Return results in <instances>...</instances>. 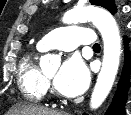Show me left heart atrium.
Returning a JSON list of instances; mask_svg holds the SVG:
<instances>
[{"label": "left heart atrium", "mask_w": 131, "mask_h": 115, "mask_svg": "<svg viewBox=\"0 0 131 115\" xmlns=\"http://www.w3.org/2000/svg\"><path fill=\"white\" fill-rule=\"evenodd\" d=\"M89 71L82 60L70 57L54 78V87L62 95L73 97L85 91L89 84Z\"/></svg>", "instance_id": "obj_1"}]
</instances>
